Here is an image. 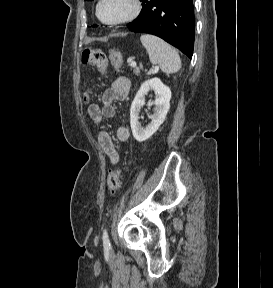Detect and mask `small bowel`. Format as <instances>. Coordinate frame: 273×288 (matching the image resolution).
I'll return each instance as SVG.
<instances>
[{
	"label": "small bowel",
	"mask_w": 273,
	"mask_h": 288,
	"mask_svg": "<svg viewBox=\"0 0 273 288\" xmlns=\"http://www.w3.org/2000/svg\"><path fill=\"white\" fill-rule=\"evenodd\" d=\"M130 90V81L126 77H118L115 79L109 88H107L101 98L102 104L92 103L88 107V114L93 122L99 125L104 119L114 117L116 109L115 101L124 100ZM116 138L120 142H125L129 138V131L125 126H121L116 131ZM98 144L103 151L110 157L112 163L118 161V154L116 152L115 144L111 135L101 130L98 134Z\"/></svg>",
	"instance_id": "obj_1"
}]
</instances>
